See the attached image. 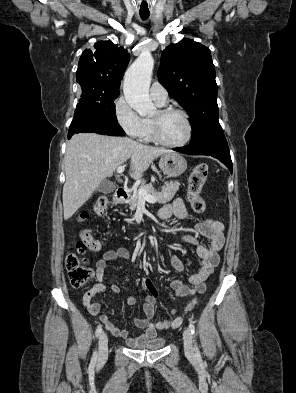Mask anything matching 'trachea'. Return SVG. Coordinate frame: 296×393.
<instances>
[{"label": "trachea", "instance_id": "trachea-1", "mask_svg": "<svg viewBox=\"0 0 296 393\" xmlns=\"http://www.w3.org/2000/svg\"><path fill=\"white\" fill-rule=\"evenodd\" d=\"M139 14H140V17H141L143 20L148 19L149 15H150L149 12H140Z\"/></svg>", "mask_w": 296, "mask_h": 393}]
</instances>
